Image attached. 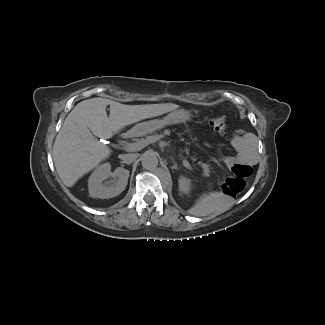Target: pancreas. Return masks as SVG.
Wrapping results in <instances>:
<instances>
[{"mask_svg":"<svg viewBox=\"0 0 325 325\" xmlns=\"http://www.w3.org/2000/svg\"><path fill=\"white\" fill-rule=\"evenodd\" d=\"M166 134L168 137H171L173 139H176L180 143V148L182 153L192 162L195 164L201 166L202 168H206L209 165V162L204 158L200 157L197 154L193 153L190 149L189 141L186 139V137L183 134H180L175 130L171 129L170 127L167 128H161L158 130H152L151 134ZM208 168L205 169V173H207Z\"/></svg>","mask_w":325,"mask_h":325,"instance_id":"cf45deb5","label":"pancreas"}]
</instances>
